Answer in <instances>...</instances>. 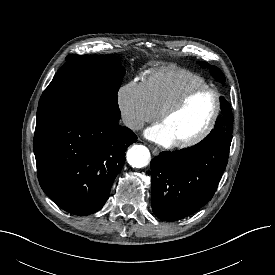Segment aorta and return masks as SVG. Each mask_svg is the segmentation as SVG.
<instances>
[{"mask_svg": "<svg viewBox=\"0 0 275 275\" xmlns=\"http://www.w3.org/2000/svg\"><path fill=\"white\" fill-rule=\"evenodd\" d=\"M150 151L143 145H134L127 151V161L135 168H142L148 165Z\"/></svg>", "mask_w": 275, "mask_h": 275, "instance_id": "aorta-1", "label": "aorta"}]
</instances>
